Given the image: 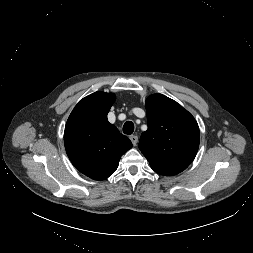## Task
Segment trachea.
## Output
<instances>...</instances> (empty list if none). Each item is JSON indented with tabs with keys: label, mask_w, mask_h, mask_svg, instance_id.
<instances>
[{
	"label": "trachea",
	"mask_w": 253,
	"mask_h": 253,
	"mask_svg": "<svg viewBox=\"0 0 253 253\" xmlns=\"http://www.w3.org/2000/svg\"><path fill=\"white\" fill-rule=\"evenodd\" d=\"M134 131V124L131 121L125 122L123 125V133L127 135H131Z\"/></svg>",
	"instance_id": "obj_1"
}]
</instances>
